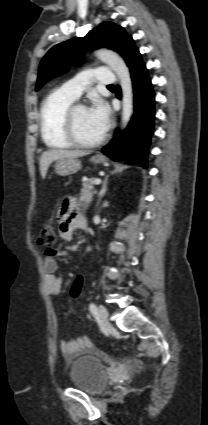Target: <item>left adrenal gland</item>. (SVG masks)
<instances>
[{
  "label": "left adrenal gland",
  "mask_w": 208,
  "mask_h": 425,
  "mask_svg": "<svg viewBox=\"0 0 208 425\" xmlns=\"http://www.w3.org/2000/svg\"><path fill=\"white\" fill-rule=\"evenodd\" d=\"M107 178L104 180V182H103V184H102V188H101V190H100V192H99V195H100V199H99V201L101 200V198L106 194V192H107ZM98 204H99V202H98Z\"/></svg>",
  "instance_id": "obj_1"
}]
</instances>
